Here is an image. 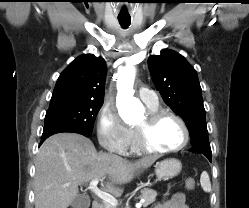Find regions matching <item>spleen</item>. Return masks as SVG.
Returning <instances> with one entry per match:
<instances>
[{"label": "spleen", "instance_id": "3e777b00", "mask_svg": "<svg viewBox=\"0 0 249 208\" xmlns=\"http://www.w3.org/2000/svg\"><path fill=\"white\" fill-rule=\"evenodd\" d=\"M200 183L203 190L207 193L211 191V183L209 179V175L206 171H203L200 177Z\"/></svg>", "mask_w": 249, "mask_h": 208}]
</instances>
